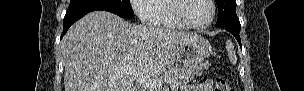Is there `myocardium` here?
Segmentation results:
<instances>
[{
    "mask_svg": "<svg viewBox=\"0 0 304 91\" xmlns=\"http://www.w3.org/2000/svg\"><path fill=\"white\" fill-rule=\"evenodd\" d=\"M185 1L186 0H174L173 6H172L173 17L180 24H182L184 26V28L204 29V28L209 27L214 22V20L216 18V6H215V2L213 0H207L212 9V16L209 19V21L204 24H193L186 19L184 12H183L184 6H185Z\"/></svg>",
    "mask_w": 304,
    "mask_h": 91,
    "instance_id": "1",
    "label": "myocardium"
}]
</instances>
